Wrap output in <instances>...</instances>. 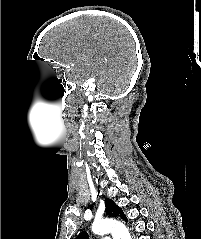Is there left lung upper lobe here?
<instances>
[{"instance_id":"1","label":"left lung upper lobe","mask_w":201,"mask_h":239,"mask_svg":"<svg viewBox=\"0 0 201 239\" xmlns=\"http://www.w3.org/2000/svg\"><path fill=\"white\" fill-rule=\"evenodd\" d=\"M106 213L112 217H121L125 221H128L124 215L122 209L114 203L113 200L106 198ZM75 239H88V233L86 231L81 232Z\"/></svg>"}]
</instances>
